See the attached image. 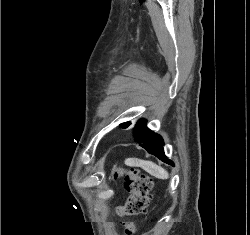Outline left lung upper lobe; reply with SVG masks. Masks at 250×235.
Listing matches in <instances>:
<instances>
[{
    "mask_svg": "<svg viewBox=\"0 0 250 235\" xmlns=\"http://www.w3.org/2000/svg\"><path fill=\"white\" fill-rule=\"evenodd\" d=\"M129 124H130L129 122H125V123L120 124V126L123 128H126L129 126Z\"/></svg>",
    "mask_w": 250,
    "mask_h": 235,
    "instance_id": "obj_1",
    "label": "left lung upper lobe"
}]
</instances>
